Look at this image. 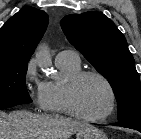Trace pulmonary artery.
<instances>
[{
	"instance_id": "1",
	"label": "pulmonary artery",
	"mask_w": 141,
	"mask_h": 139,
	"mask_svg": "<svg viewBox=\"0 0 141 139\" xmlns=\"http://www.w3.org/2000/svg\"><path fill=\"white\" fill-rule=\"evenodd\" d=\"M58 62H80L79 55L73 50H63L56 55V63Z\"/></svg>"
}]
</instances>
